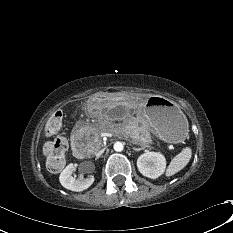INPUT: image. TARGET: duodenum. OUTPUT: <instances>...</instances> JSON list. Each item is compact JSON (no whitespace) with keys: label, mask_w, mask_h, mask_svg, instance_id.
I'll return each mask as SVG.
<instances>
[{"label":"duodenum","mask_w":233,"mask_h":233,"mask_svg":"<svg viewBox=\"0 0 233 233\" xmlns=\"http://www.w3.org/2000/svg\"><path fill=\"white\" fill-rule=\"evenodd\" d=\"M72 149L74 154L78 157V158H83L85 157L87 151L85 148V145L82 143L81 140H79L78 138L74 137L72 139Z\"/></svg>","instance_id":"410a0bca"}]
</instances>
